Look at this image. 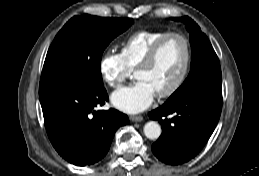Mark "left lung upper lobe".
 <instances>
[{
	"label": "left lung upper lobe",
	"instance_id": "1",
	"mask_svg": "<svg viewBox=\"0 0 259 176\" xmlns=\"http://www.w3.org/2000/svg\"><path fill=\"white\" fill-rule=\"evenodd\" d=\"M181 21L190 33L191 70L185 82L165 103H174L196 93L222 95V75L219 59L200 27L189 17L171 18Z\"/></svg>",
	"mask_w": 259,
	"mask_h": 176
}]
</instances>
